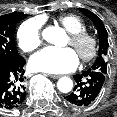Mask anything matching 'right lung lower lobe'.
<instances>
[{"label": "right lung lower lobe", "instance_id": "98d812e1", "mask_svg": "<svg viewBox=\"0 0 117 117\" xmlns=\"http://www.w3.org/2000/svg\"><path fill=\"white\" fill-rule=\"evenodd\" d=\"M25 64L23 57L0 59V109H15L23 104L26 98L23 85Z\"/></svg>", "mask_w": 117, "mask_h": 117}]
</instances>
